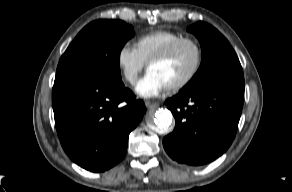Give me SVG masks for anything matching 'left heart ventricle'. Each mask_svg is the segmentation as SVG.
Listing matches in <instances>:
<instances>
[{
  "instance_id": "obj_1",
  "label": "left heart ventricle",
  "mask_w": 292,
  "mask_h": 192,
  "mask_svg": "<svg viewBox=\"0 0 292 192\" xmlns=\"http://www.w3.org/2000/svg\"><path fill=\"white\" fill-rule=\"evenodd\" d=\"M195 62V49L191 45H184L170 59L155 63L148 70L157 74L167 86H171L184 79L193 69Z\"/></svg>"
}]
</instances>
